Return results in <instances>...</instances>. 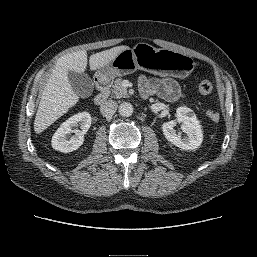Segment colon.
Masks as SVG:
<instances>
[{
    "label": "colon",
    "mask_w": 257,
    "mask_h": 257,
    "mask_svg": "<svg viewBox=\"0 0 257 257\" xmlns=\"http://www.w3.org/2000/svg\"><path fill=\"white\" fill-rule=\"evenodd\" d=\"M198 91L201 95H209L213 91V85L208 80H202L198 84ZM207 116L210 120L214 122L218 121L220 118L219 113L216 111H208Z\"/></svg>",
    "instance_id": "5ec220e1"
}]
</instances>
